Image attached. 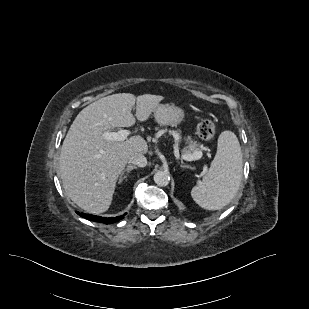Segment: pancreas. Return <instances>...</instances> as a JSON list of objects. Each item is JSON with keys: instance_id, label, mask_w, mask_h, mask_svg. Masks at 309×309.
<instances>
[{"instance_id": "obj_1", "label": "pancreas", "mask_w": 309, "mask_h": 309, "mask_svg": "<svg viewBox=\"0 0 309 309\" xmlns=\"http://www.w3.org/2000/svg\"><path fill=\"white\" fill-rule=\"evenodd\" d=\"M171 133L177 137L178 142H181V131L180 130H175V131H172ZM186 144L187 146H185L182 150V153L184 155L193 154L196 151H201L200 148L204 149L202 145H200L196 140H193L189 136L186 139Z\"/></svg>"}]
</instances>
